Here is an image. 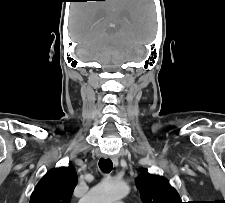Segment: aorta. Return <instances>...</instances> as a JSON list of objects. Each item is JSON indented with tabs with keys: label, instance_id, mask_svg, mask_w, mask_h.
<instances>
[{
	"label": "aorta",
	"instance_id": "obj_1",
	"mask_svg": "<svg viewBox=\"0 0 225 203\" xmlns=\"http://www.w3.org/2000/svg\"><path fill=\"white\" fill-rule=\"evenodd\" d=\"M129 192L127 184L121 181L106 179L90 189L79 203H113Z\"/></svg>",
	"mask_w": 225,
	"mask_h": 203
}]
</instances>
